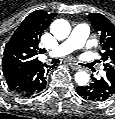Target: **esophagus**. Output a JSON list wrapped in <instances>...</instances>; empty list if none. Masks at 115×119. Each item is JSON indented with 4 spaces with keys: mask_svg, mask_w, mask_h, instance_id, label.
<instances>
[{
    "mask_svg": "<svg viewBox=\"0 0 115 119\" xmlns=\"http://www.w3.org/2000/svg\"><path fill=\"white\" fill-rule=\"evenodd\" d=\"M69 65H70L71 69H73V70H80L82 68L80 65L72 63V62H70Z\"/></svg>",
    "mask_w": 115,
    "mask_h": 119,
    "instance_id": "obj_1",
    "label": "esophagus"
}]
</instances>
